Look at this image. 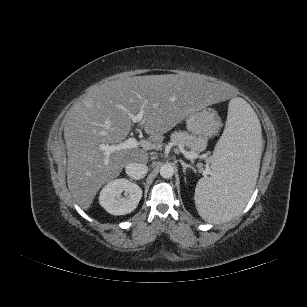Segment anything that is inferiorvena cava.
<instances>
[{
    "mask_svg": "<svg viewBox=\"0 0 307 307\" xmlns=\"http://www.w3.org/2000/svg\"><path fill=\"white\" fill-rule=\"evenodd\" d=\"M127 175L132 179L139 180L145 177L148 172V167L143 163H130L125 169Z\"/></svg>",
    "mask_w": 307,
    "mask_h": 307,
    "instance_id": "inferior-vena-cava-1",
    "label": "inferior vena cava"
}]
</instances>
